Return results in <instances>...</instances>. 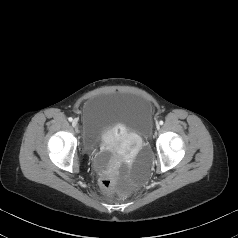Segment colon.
<instances>
[{"instance_id":"1","label":"colon","mask_w":238,"mask_h":238,"mask_svg":"<svg viewBox=\"0 0 238 238\" xmlns=\"http://www.w3.org/2000/svg\"><path fill=\"white\" fill-rule=\"evenodd\" d=\"M115 184L116 182L113 177L106 176L100 179V185L105 191H108V192L112 191L115 187Z\"/></svg>"}]
</instances>
